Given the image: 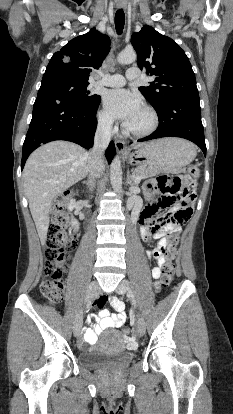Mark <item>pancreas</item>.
I'll list each match as a JSON object with an SVG mask.
<instances>
[{
	"instance_id": "obj_1",
	"label": "pancreas",
	"mask_w": 233,
	"mask_h": 414,
	"mask_svg": "<svg viewBox=\"0 0 233 414\" xmlns=\"http://www.w3.org/2000/svg\"><path fill=\"white\" fill-rule=\"evenodd\" d=\"M158 173V171H155L148 167H139L134 169L132 172L134 177H140L141 179H146L148 177L155 176Z\"/></svg>"
}]
</instances>
